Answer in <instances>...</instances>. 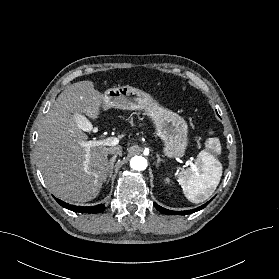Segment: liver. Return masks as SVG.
<instances>
[{
	"mask_svg": "<svg viewBox=\"0 0 279 279\" xmlns=\"http://www.w3.org/2000/svg\"><path fill=\"white\" fill-rule=\"evenodd\" d=\"M103 94L92 81H80L68 86L56 99L38 130L37 164L49 190L67 202L84 203L97 197L108 169L112 147L90 148L89 160L82 142L88 136L76 123L74 114H81L83 124L95 120L101 113Z\"/></svg>",
	"mask_w": 279,
	"mask_h": 279,
	"instance_id": "6515ba94",
	"label": "liver"
}]
</instances>
